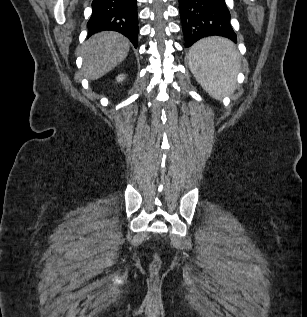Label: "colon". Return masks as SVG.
I'll return each mask as SVG.
<instances>
[{"label": "colon", "instance_id": "colon-1", "mask_svg": "<svg viewBox=\"0 0 307 317\" xmlns=\"http://www.w3.org/2000/svg\"><path fill=\"white\" fill-rule=\"evenodd\" d=\"M160 261L158 258H155L151 264V272L153 276H156L159 270Z\"/></svg>", "mask_w": 307, "mask_h": 317}]
</instances>
